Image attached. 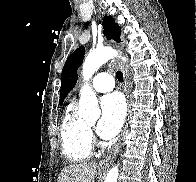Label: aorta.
<instances>
[{
    "instance_id": "762f6f07",
    "label": "aorta",
    "mask_w": 196,
    "mask_h": 182,
    "mask_svg": "<svg viewBox=\"0 0 196 182\" xmlns=\"http://www.w3.org/2000/svg\"><path fill=\"white\" fill-rule=\"evenodd\" d=\"M117 55L116 51L109 47H103L91 51L83 63V78L86 82L90 80L92 75L107 61ZM125 60V58H123ZM77 114L86 121H97L100 117V109L95 92L86 83L82 90L79 100V108ZM119 176L118 167L111 168L104 182H117Z\"/></svg>"
}]
</instances>
